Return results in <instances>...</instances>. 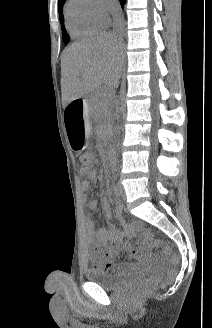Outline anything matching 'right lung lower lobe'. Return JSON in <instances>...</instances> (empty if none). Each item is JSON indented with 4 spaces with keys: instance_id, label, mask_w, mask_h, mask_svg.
Returning a JSON list of instances; mask_svg holds the SVG:
<instances>
[{
    "instance_id": "right-lung-lower-lobe-1",
    "label": "right lung lower lobe",
    "mask_w": 212,
    "mask_h": 328,
    "mask_svg": "<svg viewBox=\"0 0 212 328\" xmlns=\"http://www.w3.org/2000/svg\"><path fill=\"white\" fill-rule=\"evenodd\" d=\"M124 1H125V0H120L122 6L124 5Z\"/></svg>"
}]
</instances>
